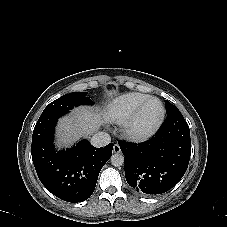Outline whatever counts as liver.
I'll return each instance as SVG.
<instances>
[{"label": "liver", "mask_w": 227, "mask_h": 227, "mask_svg": "<svg viewBox=\"0 0 227 227\" xmlns=\"http://www.w3.org/2000/svg\"><path fill=\"white\" fill-rule=\"evenodd\" d=\"M100 113L81 107L75 109L69 118H63L58 126V137L61 144H71L82 135H89L103 124Z\"/></svg>", "instance_id": "obj_1"}]
</instances>
